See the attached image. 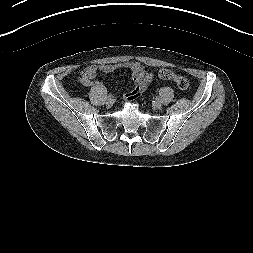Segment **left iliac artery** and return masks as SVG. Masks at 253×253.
Listing matches in <instances>:
<instances>
[{"mask_svg":"<svg viewBox=\"0 0 253 253\" xmlns=\"http://www.w3.org/2000/svg\"><path fill=\"white\" fill-rule=\"evenodd\" d=\"M153 101H154L155 103H160V102L162 101V98H161L160 96H155V97L153 98Z\"/></svg>","mask_w":253,"mask_h":253,"instance_id":"left-iliac-artery-1","label":"left iliac artery"}]
</instances>
